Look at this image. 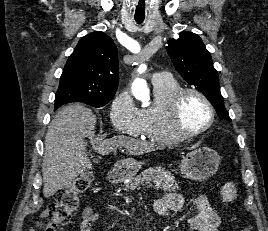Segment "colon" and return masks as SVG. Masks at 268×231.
Here are the masks:
<instances>
[{
	"label": "colon",
	"instance_id": "5ec220e1",
	"mask_svg": "<svg viewBox=\"0 0 268 231\" xmlns=\"http://www.w3.org/2000/svg\"><path fill=\"white\" fill-rule=\"evenodd\" d=\"M90 176L91 172L84 173L55 193L53 201L49 203L38 223V231H57L59 226L70 220L78 207L80 197L88 188ZM240 231H254V226L245 224Z\"/></svg>",
	"mask_w": 268,
	"mask_h": 231
}]
</instances>
